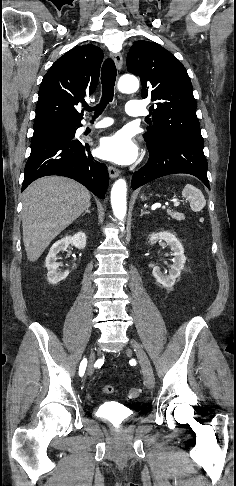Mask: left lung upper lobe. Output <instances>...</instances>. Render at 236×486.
<instances>
[{
	"instance_id": "1",
	"label": "left lung upper lobe",
	"mask_w": 236,
	"mask_h": 486,
	"mask_svg": "<svg viewBox=\"0 0 236 486\" xmlns=\"http://www.w3.org/2000/svg\"><path fill=\"white\" fill-rule=\"evenodd\" d=\"M127 70L140 77L142 98L154 102L144 134L147 144L173 136L203 142L190 78L173 54L155 42L139 40L128 52Z\"/></svg>"
}]
</instances>
